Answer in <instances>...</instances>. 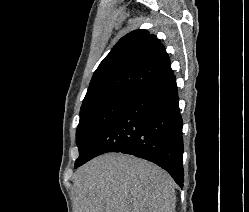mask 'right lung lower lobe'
Returning <instances> with one entry per match:
<instances>
[{"mask_svg": "<svg viewBox=\"0 0 249 212\" xmlns=\"http://www.w3.org/2000/svg\"><path fill=\"white\" fill-rule=\"evenodd\" d=\"M107 152L151 161L183 187L182 117L174 75L139 94L122 110L95 142L84 163Z\"/></svg>", "mask_w": 249, "mask_h": 212, "instance_id": "right-lung-lower-lobe-1", "label": "right lung lower lobe"}]
</instances>
